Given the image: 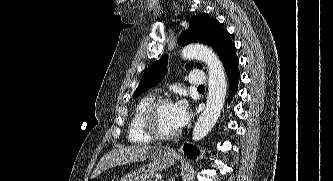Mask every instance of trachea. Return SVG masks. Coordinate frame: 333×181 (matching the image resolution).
<instances>
[{
	"instance_id": "1",
	"label": "trachea",
	"mask_w": 333,
	"mask_h": 181,
	"mask_svg": "<svg viewBox=\"0 0 333 181\" xmlns=\"http://www.w3.org/2000/svg\"><path fill=\"white\" fill-rule=\"evenodd\" d=\"M198 89H205L204 85L198 87Z\"/></svg>"
}]
</instances>
